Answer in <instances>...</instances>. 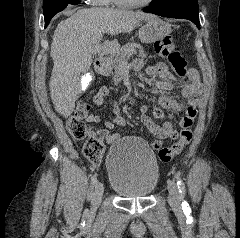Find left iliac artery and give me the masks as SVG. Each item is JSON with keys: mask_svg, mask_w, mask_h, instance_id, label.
I'll return each instance as SVG.
<instances>
[{"mask_svg": "<svg viewBox=\"0 0 240 238\" xmlns=\"http://www.w3.org/2000/svg\"><path fill=\"white\" fill-rule=\"evenodd\" d=\"M176 179L180 194H185V184L180 177V172L176 174ZM182 207L184 208V210H189L188 204L186 202H182Z\"/></svg>", "mask_w": 240, "mask_h": 238, "instance_id": "obj_1", "label": "left iliac artery"}]
</instances>
